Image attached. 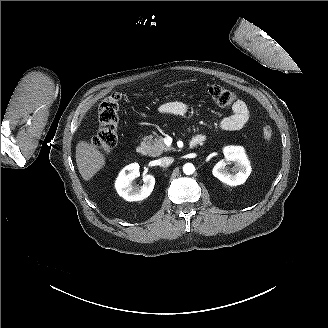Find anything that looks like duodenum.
<instances>
[{
	"mask_svg": "<svg viewBox=\"0 0 328 328\" xmlns=\"http://www.w3.org/2000/svg\"><path fill=\"white\" fill-rule=\"evenodd\" d=\"M205 141V136L203 135H196L194 136L191 141H190V148H195L197 146H199L200 144H202ZM148 146L145 143H140L137 148L136 151L138 154L145 156L148 153Z\"/></svg>",
	"mask_w": 328,
	"mask_h": 328,
	"instance_id": "obj_1",
	"label": "duodenum"
}]
</instances>
